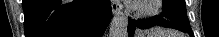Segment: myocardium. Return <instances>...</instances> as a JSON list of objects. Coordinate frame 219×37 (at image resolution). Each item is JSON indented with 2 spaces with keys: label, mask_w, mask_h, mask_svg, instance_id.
I'll return each instance as SVG.
<instances>
[{
  "label": "myocardium",
  "mask_w": 219,
  "mask_h": 37,
  "mask_svg": "<svg viewBox=\"0 0 219 37\" xmlns=\"http://www.w3.org/2000/svg\"><path fill=\"white\" fill-rule=\"evenodd\" d=\"M159 0H145V1H139L136 3V5L133 7V10L135 11L136 15L139 18L145 19L153 16L156 14V12L159 9Z\"/></svg>",
  "instance_id": "f54148a6"
}]
</instances>
